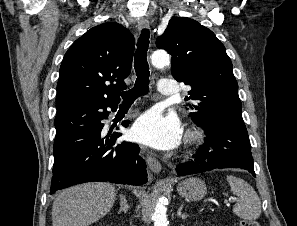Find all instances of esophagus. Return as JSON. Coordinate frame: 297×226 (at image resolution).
Returning a JSON list of instances; mask_svg holds the SVG:
<instances>
[{"instance_id":"obj_1","label":"esophagus","mask_w":297,"mask_h":226,"mask_svg":"<svg viewBox=\"0 0 297 226\" xmlns=\"http://www.w3.org/2000/svg\"><path fill=\"white\" fill-rule=\"evenodd\" d=\"M149 28H150L149 21L146 18H141L138 21V29L139 30L149 29ZM146 162L152 172L158 174L161 171L162 166H161L160 162L153 155L147 154Z\"/></svg>"}]
</instances>
